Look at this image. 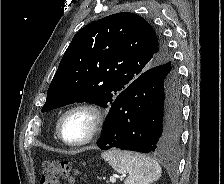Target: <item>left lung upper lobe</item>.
Returning <instances> with one entry per match:
<instances>
[{"label":"left lung upper lobe","mask_w":224,"mask_h":184,"mask_svg":"<svg viewBox=\"0 0 224 184\" xmlns=\"http://www.w3.org/2000/svg\"><path fill=\"white\" fill-rule=\"evenodd\" d=\"M171 63L162 37L141 16L121 12L79 30L65 51L42 112L75 102L104 108L143 72Z\"/></svg>","instance_id":"5c2ea615"}]
</instances>
